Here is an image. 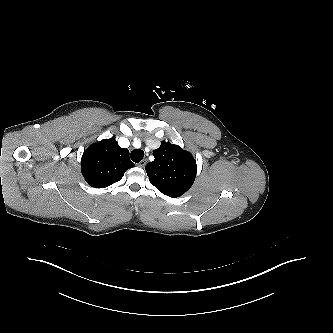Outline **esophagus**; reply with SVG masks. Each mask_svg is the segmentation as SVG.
<instances>
[{"mask_svg": "<svg viewBox=\"0 0 333 333\" xmlns=\"http://www.w3.org/2000/svg\"><path fill=\"white\" fill-rule=\"evenodd\" d=\"M146 164H147V160L143 159L140 163H138V166L143 168V167H145Z\"/></svg>", "mask_w": 333, "mask_h": 333, "instance_id": "esophagus-1", "label": "esophagus"}]
</instances>
